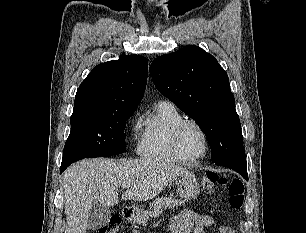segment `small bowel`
Here are the masks:
<instances>
[{
  "label": "small bowel",
  "mask_w": 306,
  "mask_h": 233,
  "mask_svg": "<svg viewBox=\"0 0 306 233\" xmlns=\"http://www.w3.org/2000/svg\"><path fill=\"white\" fill-rule=\"evenodd\" d=\"M206 227H217L219 233H235L231 227L217 224L212 216L189 209L175 215L169 225L171 233H205Z\"/></svg>",
  "instance_id": "1"
}]
</instances>
